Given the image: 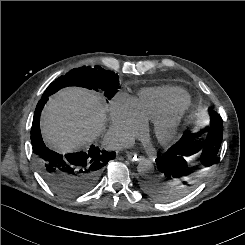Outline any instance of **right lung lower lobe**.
<instances>
[{"label":"right lung lower lobe","instance_id":"obj_1","mask_svg":"<svg viewBox=\"0 0 245 245\" xmlns=\"http://www.w3.org/2000/svg\"><path fill=\"white\" fill-rule=\"evenodd\" d=\"M44 96L38 102L32 127L31 142L38 170L46 183L64 197H76L90 190L97 182L103 167L115 158V152L100 150L91 145L86 152L61 155L48 149L40 132V115L47 102Z\"/></svg>","mask_w":245,"mask_h":245}]
</instances>
